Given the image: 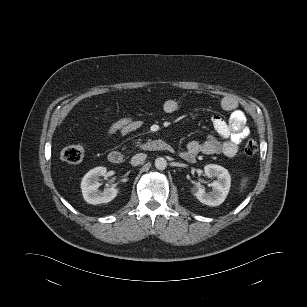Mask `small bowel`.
<instances>
[{
    "label": "small bowel",
    "instance_id": "small-bowel-1",
    "mask_svg": "<svg viewBox=\"0 0 307 307\" xmlns=\"http://www.w3.org/2000/svg\"><path fill=\"white\" fill-rule=\"evenodd\" d=\"M220 107L230 113L226 120L221 115L215 114L211 121L218 135L209 136L202 142L191 141L187 144L182 156L188 160H194L199 154L213 155L222 154L226 157H234L238 152V146L249 135L244 113L239 109V104L232 97H223L219 101ZM178 101L169 99L163 104V111L168 114L179 110ZM142 122L131 117H123L112 123L106 131L107 137L120 134L127 137L132 132L142 127Z\"/></svg>",
    "mask_w": 307,
    "mask_h": 307
}]
</instances>
